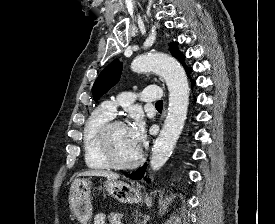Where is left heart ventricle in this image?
<instances>
[{"label":"left heart ventricle","mask_w":275,"mask_h":224,"mask_svg":"<svg viewBox=\"0 0 275 224\" xmlns=\"http://www.w3.org/2000/svg\"><path fill=\"white\" fill-rule=\"evenodd\" d=\"M110 141L113 153L118 161H131L139 152V148L129 136L126 126L117 125L113 127L110 133Z\"/></svg>","instance_id":"obj_1"}]
</instances>
